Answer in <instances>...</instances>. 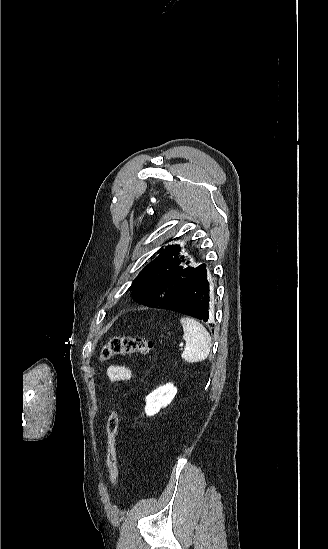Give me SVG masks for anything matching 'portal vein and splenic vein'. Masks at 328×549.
Here are the masks:
<instances>
[{
    "instance_id": "obj_1",
    "label": "portal vein and splenic vein",
    "mask_w": 328,
    "mask_h": 549,
    "mask_svg": "<svg viewBox=\"0 0 328 549\" xmlns=\"http://www.w3.org/2000/svg\"><path fill=\"white\" fill-rule=\"evenodd\" d=\"M179 347H182V344H179Z\"/></svg>"
}]
</instances>
